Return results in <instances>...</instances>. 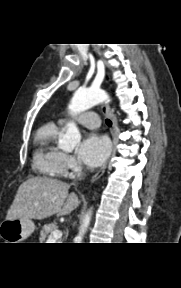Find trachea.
Segmentation results:
<instances>
[{"instance_id": "obj_1", "label": "trachea", "mask_w": 181, "mask_h": 288, "mask_svg": "<svg viewBox=\"0 0 181 288\" xmlns=\"http://www.w3.org/2000/svg\"><path fill=\"white\" fill-rule=\"evenodd\" d=\"M106 124L110 127V126H112V121L111 120H109V119H106Z\"/></svg>"}]
</instances>
